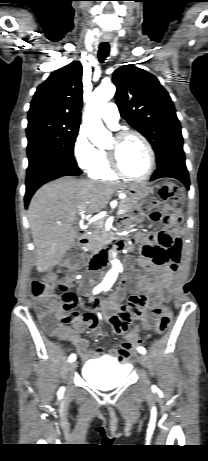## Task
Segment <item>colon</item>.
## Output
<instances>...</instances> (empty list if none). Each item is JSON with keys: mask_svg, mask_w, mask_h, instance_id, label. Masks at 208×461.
Returning <instances> with one entry per match:
<instances>
[{"mask_svg": "<svg viewBox=\"0 0 208 461\" xmlns=\"http://www.w3.org/2000/svg\"><path fill=\"white\" fill-rule=\"evenodd\" d=\"M159 199L149 200L142 204L143 212L153 220H159L163 211H168L163 216V221L167 225H174L182 219L180 209L183 202V193L179 186L174 183H165L159 188ZM141 251H166L160 250L157 245H145ZM69 283L65 279H59L56 274L50 272L41 279L32 282V297L36 303V311L44 330L51 336L60 335V324L58 323V313H68L71 309H63L60 294L55 291H66ZM172 313L170 309L165 308L158 320L156 332L164 333L170 326ZM141 340H125L124 344L119 346L122 352L132 354L135 348H140Z\"/></svg>", "mask_w": 208, "mask_h": 461, "instance_id": "colon-1", "label": "colon"}]
</instances>
